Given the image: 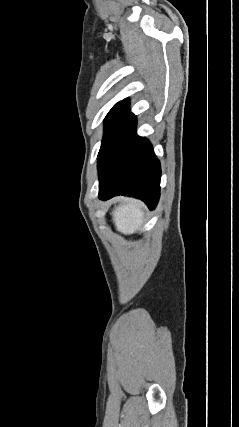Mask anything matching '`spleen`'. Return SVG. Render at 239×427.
I'll return each instance as SVG.
<instances>
[{
	"instance_id": "spleen-1",
	"label": "spleen",
	"mask_w": 239,
	"mask_h": 427,
	"mask_svg": "<svg viewBox=\"0 0 239 427\" xmlns=\"http://www.w3.org/2000/svg\"><path fill=\"white\" fill-rule=\"evenodd\" d=\"M112 216L116 230L129 235L135 233L141 226L144 212L139 202L131 200L126 204L118 206L112 212Z\"/></svg>"
}]
</instances>
